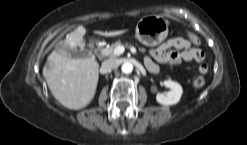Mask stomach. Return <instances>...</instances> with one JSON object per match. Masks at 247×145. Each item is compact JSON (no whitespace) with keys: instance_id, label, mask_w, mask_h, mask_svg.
<instances>
[{"instance_id":"obj_1","label":"stomach","mask_w":247,"mask_h":145,"mask_svg":"<svg viewBox=\"0 0 247 145\" xmlns=\"http://www.w3.org/2000/svg\"><path fill=\"white\" fill-rule=\"evenodd\" d=\"M168 21L161 16L143 17L136 26L137 39L146 46H156L168 35Z\"/></svg>"}]
</instances>
